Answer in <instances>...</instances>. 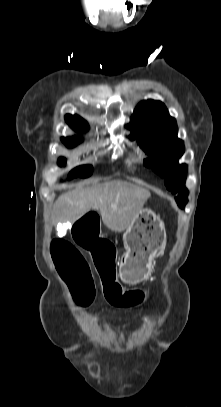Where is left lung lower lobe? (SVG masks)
Here are the masks:
<instances>
[{"label":"left lung lower lobe","instance_id":"1","mask_svg":"<svg viewBox=\"0 0 221 407\" xmlns=\"http://www.w3.org/2000/svg\"><path fill=\"white\" fill-rule=\"evenodd\" d=\"M187 201H188V199H180V200H177V203L181 208H183L184 205L187 203Z\"/></svg>","mask_w":221,"mask_h":407}]
</instances>
